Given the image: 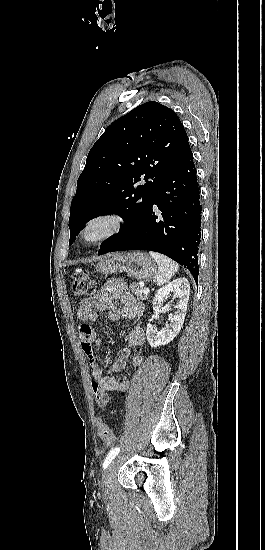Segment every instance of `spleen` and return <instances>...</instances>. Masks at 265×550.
<instances>
[{"label": "spleen", "instance_id": "obj_1", "mask_svg": "<svg viewBox=\"0 0 265 550\" xmlns=\"http://www.w3.org/2000/svg\"><path fill=\"white\" fill-rule=\"evenodd\" d=\"M149 254L157 262L158 275L156 276V281L157 285L161 286L172 278L178 271L179 266L175 261L160 253L150 251Z\"/></svg>", "mask_w": 265, "mask_h": 550}]
</instances>
